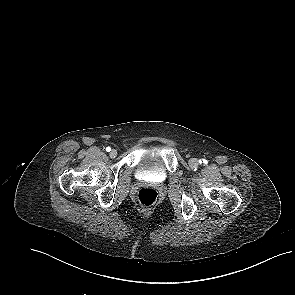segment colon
Here are the masks:
<instances>
[{
	"mask_svg": "<svg viewBox=\"0 0 295 295\" xmlns=\"http://www.w3.org/2000/svg\"><path fill=\"white\" fill-rule=\"evenodd\" d=\"M137 199L140 205L151 207L157 202L158 193L152 188H142L137 193Z\"/></svg>",
	"mask_w": 295,
	"mask_h": 295,
	"instance_id": "1",
	"label": "colon"
}]
</instances>
